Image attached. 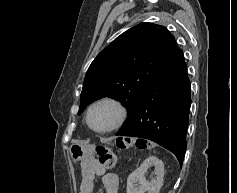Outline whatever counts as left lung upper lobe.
Listing matches in <instances>:
<instances>
[{"mask_svg":"<svg viewBox=\"0 0 237 193\" xmlns=\"http://www.w3.org/2000/svg\"><path fill=\"white\" fill-rule=\"evenodd\" d=\"M177 51L173 35L163 26L140 23L127 30L91 63L78 114L95 100L112 97L128 109L123 129L135 116L148 87Z\"/></svg>","mask_w":237,"mask_h":193,"instance_id":"left-lung-upper-lobe-1","label":"left lung upper lobe"}]
</instances>
